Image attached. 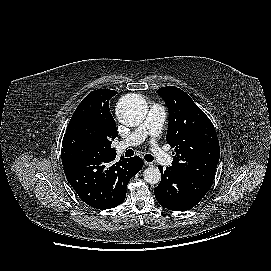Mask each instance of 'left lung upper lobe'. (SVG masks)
I'll return each instance as SVG.
<instances>
[{
	"label": "left lung upper lobe",
	"instance_id": "5c2ea615",
	"mask_svg": "<svg viewBox=\"0 0 271 271\" xmlns=\"http://www.w3.org/2000/svg\"><path fill=\"white\" fill-rule=\"evenodd\" d=\"M157 93L169 111L166 140L175 148L172 166L211 186L220 157L212 122L183 90L168 86Z\"/></svg>",
	"mask_w": 271,
	"mask_h": 271
}]
</instances>
